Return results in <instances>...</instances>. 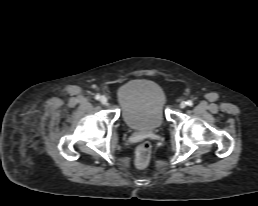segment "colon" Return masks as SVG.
Returning <instances> with one entry per match:
<instances>
[{"label":"colon","mask_w":258,"mask_h":206,"mask_svg":"<svg viewBox=\"0 0 258 206\" xmlns=\"http://www.w3.org/2000/svg\"><path fill=\"white\" fill-rule=\"evenodd\" d=\"M151 158V145L148 141L141 143L135 152V164L137 166H145Z\"/></svg>","instance_id":"1"}]
</instances>
